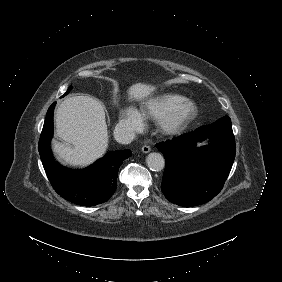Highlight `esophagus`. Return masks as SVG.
Returning <instances> with one entry per match:
<instances>
[{
    "label": "esophagus",
    "mask_w": 282,
    "mask_h": 282,
    "mask_svg": "<svg viewBox=\"0 0 282 282\" xmlns=\"http://www.w3.org/2000/svg\"><path fill=\"white\" fill-rule=\"evenodd\" d=\"M150 150H151V148H150V146H148V145H144V146L142 147V152H143V153H148V152H150Z\"/></svg>",
    "instance_id": "34e87169"
}]
</instances>
